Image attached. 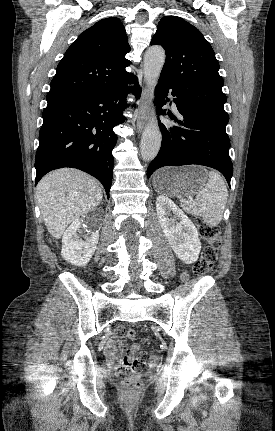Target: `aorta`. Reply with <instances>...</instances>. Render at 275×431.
I'll use <instances>...</instances> for the list:
<instances>
[{"mask_svg":"<svg viewBox=\"0 0 275 431\" xmlns=\"http://www.w3.org/2000/svg\"><path fill=\"white\" fill-rule=\"evenodd\" d=\"M165 62V51L160 46L150 47L144 56V79L148 87L150 102L154 100V90L158 83ZM152 108L154 106L152 104ZM161 132L156 117L152 116L147 123L141 138L140 152L143 160L152 161L161 146Z\"/></svg>","mask_w":275,"mask_h":431,"instance_id":"obj_1","label":"aorta"}]
</instances>
